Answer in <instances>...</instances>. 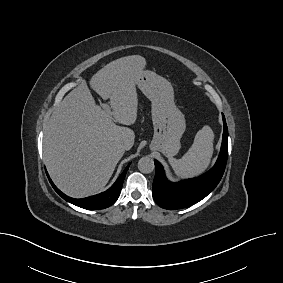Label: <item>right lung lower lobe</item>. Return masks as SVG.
<instances>
[{
    "mask_svg": "<svg viewBox=\"0 0 283 283\" xmlns=\"http://www.w3.org/2000/svg\"><path fill=\"white\" fill-rule=\"evenodd\" d=\"M129 166L130 164L125 168V170L116 180V182L107 191L91 196V197L83 198V199H74V198L68 197L67 195L63 194L54 185V183L52 182L48 174L47 176L54 190L66 201L76 206H79L81 208H84V209H104V208L111 206L118 199L121 189H122L123 181H124V178H125V175H126V172Z\"/></svg>",
    "mask_w": 283,
    "mask_h": 283,
    "instance_id": "right-lung-lower-lobe-1",
    "label": "right lung lower lobe"
}]
</instances>
